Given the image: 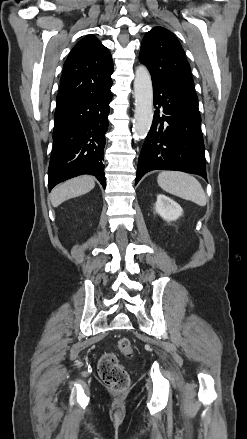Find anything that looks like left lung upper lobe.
Listing matches in <instances>:
<instances>
[{
	"label": "left lung upper lobe",
	"mask_w": 247,
	"mask_h": 439,
	"mask_svg": "<svg viewBox=\"0 0 247 439\" xmlns=\"http://www.w3.org/2000/svg\"><path fill=\"white\" fill-rule=\"evenodd\" d=\"M139 61L147 66L153 81L198 102L184 50L169 30L158 26L146 33L142 41Z\"/></svg>",
	"instance_id": "left-lung-upper-lobe-1"
}]
</instances>
